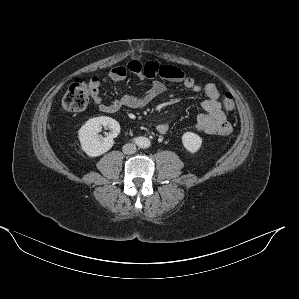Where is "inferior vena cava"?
I'll list each match as a JSON object with an SVG mask.
<instances>
[{
    "label": "inferior vena cava",
    "mask_w": 299,
    "mask_h": 299,
    "mask_svg": "<svg viewBox=\"0 0 299 299\" xmlns=\"http://www.w3.org/2000/svg\"><path fill=\"white\" fill-rule=\"evenodd\" d=\"M123 153L124 154H134L136 152V145L132 143H127L123 146Z\"/></svg>",
    "instance_id": "obj_1"
}]
</instances>
